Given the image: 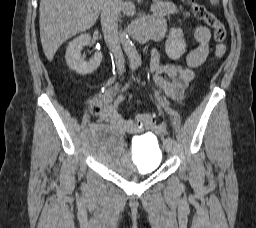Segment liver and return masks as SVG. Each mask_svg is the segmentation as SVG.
Returning a JSON list of instances; mask_svg holds the SVG:
<instances>
[{"label": "liver", "instance_id": "1", "mask_svg": "<svg viewBox=\"0 0 256 228\" xmlns=\"http://www.w3.org/2000/svg\"><path fill=\"white\" fill-rule=\"evenodd\" d=\"M104 0H40V38L49 61L69 38L90 29Z\"/></svg>", "mask_w": 256, "mask_h": 228}]
</instances>
